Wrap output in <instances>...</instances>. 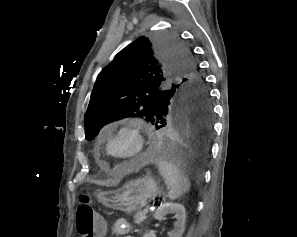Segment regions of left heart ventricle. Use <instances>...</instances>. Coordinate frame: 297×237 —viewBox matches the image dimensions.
<instances>
[{
	"instance_id": "b2bd125f",
	"label": "left heart ventricle",
	"mask_w": 297,
	"mask_h": 237,
	"mask_svg": "<svg viewBox=\"0 0 297 237\" xmlns=\"http://www.w3.org/2000/svg\"><path fill=\"white\" fill-rule=\"evenodd\" d=\"M109 150L115 157H124L133 152V140L128 135L119 136L111 141Z\"/></svg>"
}]
</instances>
